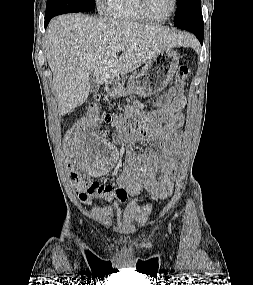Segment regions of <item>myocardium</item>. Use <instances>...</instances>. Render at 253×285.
Wrapping results in <instances>:
<instances>
[{
	"label": "myocardium",
	"mask_w": 253,
	"mask_h": 285,
	"mask_svg": "<svg viewBox=\"0 0 253 285\" xmlns=\"http://www.w3.org/2000/svg\"><path fill=\"white\" fill-rule=\"evenodd\" d=\"M137 1H138V7H139L141 14L148 21H152V22H165V21L169 20L174 15V13L176 12V9H177V0H172V9H171L170 13L164 18H154L147 11L146 0H137Z\"/></svg>",
	"instance_id": "f54148a6"
}]
</instances>
